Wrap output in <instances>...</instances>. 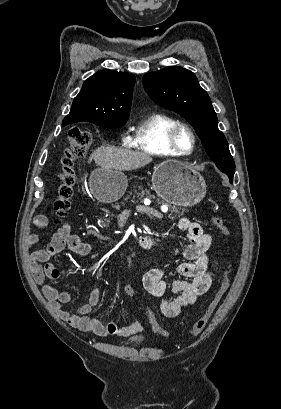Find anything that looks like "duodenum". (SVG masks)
<instances>
[{"label": "duodenum", "instance_id": "duodenum-1", "mask_svg": "<svg viewBox=\"0 0 281 409\" xmlns=\"http://www.w3.org/2000/svg\"><path fill=\"white\" fill-rule=\"evenodd\" d=\"M140 243L142 247L146 250L151 249V239L148 237H140Z\"/></svg>", "mask_w": 281, "mask_h": 409}]
</instances>
